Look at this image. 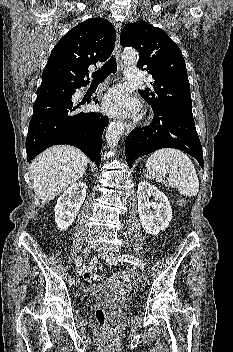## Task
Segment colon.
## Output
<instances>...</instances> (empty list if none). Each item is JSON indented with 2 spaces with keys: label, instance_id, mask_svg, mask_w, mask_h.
<instances>
[{
  "label": "colon",
  "instance_id": "colon-1",
  "mask_svg": "<svg viewBox=\"0 0 233 352\" xmlns=\"http://www.w3.org/2000/svg\"><path fill=\"white\" fill-rule=\"evenodd\" d=\"M98 269L95 265H89L84 271V283L86 286H89L98 279ZM95 316L100 325H105L110 316L109 313L104 309H97Z\"/></svg>",
  "mask_w": 233,
  "mask_h": 352
}]
</instances>
